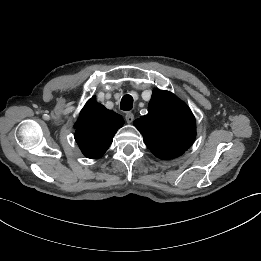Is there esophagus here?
Listing matches in <instances>:
<instances>
[{
	"mask_svg": "<svg viewBox=\"0 0 261 261\" xmlns=\"http://www.w3.org/2000/svg\"><path fill=\"white\" fill-rule=\"evenodd\" d=\"M125 120L128 124H131L134 121V115L131 112L126 113Z\"/></svg>",
	"mask_w": 261,
	"mask_h": 261,
	"instance_id": "obj_1",
	"label": "esophagus"
}]
</instances>
